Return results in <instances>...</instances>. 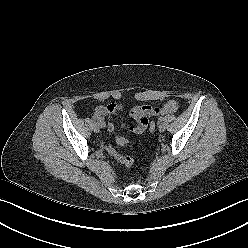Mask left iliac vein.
<instances>
[{"label":"left iliac vein","mask_w":248,"mask_h":248,"mask_svg":"<svg viewBox=\"0 0 248 248\" xmlns=\"http://www.w3.org/2000/svg\"><path fill=\"white\" fill-rule=\"evenodd\" d=\"M158 129H159L160 132L165 131V129H166V124H165V123H159Z\"/></svg>","instance_id":"left-iliac-vein-1"}]
</instances>
